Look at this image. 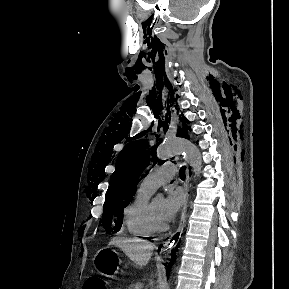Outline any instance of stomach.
Returning a JSON list of instances; mask_svg holds the SVG:
<instances>
[{"mask_svg":"<svg viewBox=\"0 0 289 289\" xmlns=\"http://www.w3.org/2000/svg\"><path fill=\"white\" fill-rule=\"evenodd\" d=\"M119 254L109 247L100 249L94 258L95 268L101 275L113 277L119 272Z\"/></svg>","mask_w":289,"mask_h":289,"instance_id":"stomach-1","label":"stomach"}]
</instances>
